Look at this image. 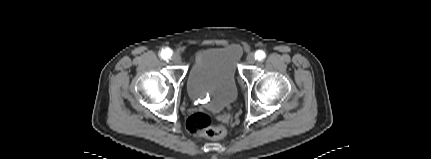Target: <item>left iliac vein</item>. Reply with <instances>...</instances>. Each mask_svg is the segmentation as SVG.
I'll use <instances>...</instances> for the list:
<instances>
[{
	"label": "left iliac vein",
	"instance_id": "obj_1",
	"mask_svg": "<svg viewBox=\"0 0 431 159\" xmlns=\"http://www.w3.org/2000/svg\"><path fill=\"white\" fill-rule=\"evenodd\" d=\"M246 61L248 64H254L256 61L254 54L253 53L248 54L246 57Z\"/></svg>",
	"mask_w": 431,
	"mask_h": 159
}]
</instances>
